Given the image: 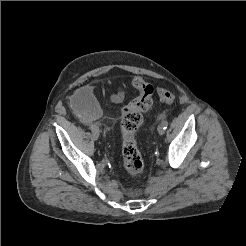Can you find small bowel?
<instances>
[{"instance_id":"obj_1","label":"small bowel","mask_w":246,"mask_h":246,"mask_svg":"<svg viewBox=\"0 0 246 246\" xmlns=\"http://www.w3.org/2000/svg\"><path fill=\"white\" fill-rule=\"evenodd\" d=\"M124 93L121 89L116 90L111 96L113 103H121ZM71 107L83 124H90L99 119L102 110L95 98L94 89L90 85L83 86L76 90L71 99Z\"/></svg>"}]
</instances>
